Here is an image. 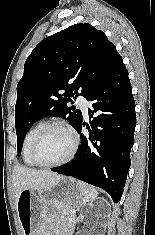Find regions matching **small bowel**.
<instances>
[{"label":"small bowel","mask_w":155,"mask_h":235,"mask_svg":"<svg viewBox=\"0 0 155 235\" xmlns=\"http://www.w3.org/2000/svg\"><path fill=\"white\" fill-rule=\"evenodd\" d=\"M48 235H70L69 229H60L57 231H51Z\"/></svg>","instance_id":"small-bowel-1"}]
</instances>
